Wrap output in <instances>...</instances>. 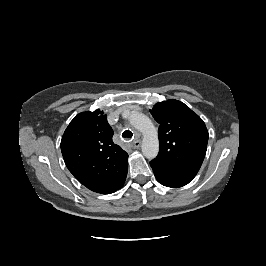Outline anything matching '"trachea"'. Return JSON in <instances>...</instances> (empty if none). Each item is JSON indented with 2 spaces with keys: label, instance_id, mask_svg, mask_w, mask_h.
<instances>
[{
  "label": "trachea",
  "instance_id": "obj_1",
  "mask_svg": "<svg viewBox=\"0 0 266 266\" xmlns=\"http://www.w3.org/2000/svg\"><path fill=\"white\" fill-rule=\"evenodd\" d=\"M122 137L124 139H131L133 137V133L130 131V130H125L123 133H122Z\"/></svg>",
  "mask_w": 266,
  "mask_h": 266
}]
</instances>
